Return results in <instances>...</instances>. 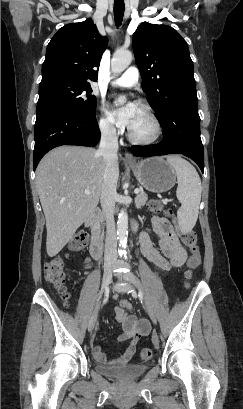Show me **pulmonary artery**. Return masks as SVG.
<instances>
[{
	"mask_svg": "<svg viewBox=\"0 0 243 409\" xmlns=\"http://www.w3.org/2000/svg\"><path fill=\"white\" fill-rule=\"evenodd\" d=\"M138 79V69L135 67H130L119 78L113 81V85L119 87H131L138 82Z\"/></svg>",
	"mask_w": 243,
	"mask_h": 409,
	"instance_id": "obj_1",
	"label": "pulmonary artery"
}]
</instances>
